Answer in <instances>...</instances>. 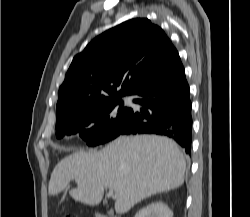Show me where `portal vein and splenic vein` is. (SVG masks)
Listing matches in <instances>:
<instances>
[{
	"label": "portal vein and splenic vein",
	"mask_w": 250,
	"mask_h": 217,
	"mask_svg": "<svg viewBox=\"0 0 250 217\" xmlns=\"http://www.w3.org/2000/svg\"><path fill=\"white\" fill-rule=\"evenodd\" d=\"M106 196L108 198H115V196H114V190L113 189H109V192L106 194Z\"/></svg>",
	"instance_id": "obj_1"
}]
</instances>
